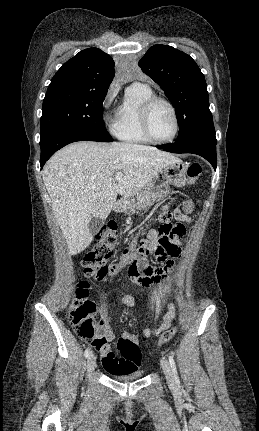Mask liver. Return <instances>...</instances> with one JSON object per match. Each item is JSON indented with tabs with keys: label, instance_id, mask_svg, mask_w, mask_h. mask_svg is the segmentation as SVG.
<instances>
[{
	"label": "liver",
	"instance_id": "1",
	"mask_svg": "<svg viewBox=\"0 0 259 431\" xmlns=\"http://www.w3.org/2000/svg\"><path fill=\"white\" fill-rule=\"evenodd\" d=\"M171 153L132 143L80 141L55 153L43 169L54 216L70 254L92 242L91 217L104 220L119 193L129 199L176 161ZM123 177L115 182L114 174Z\"/></svg>",
	"mask_w": 259,
	"mask_h": 431
}]
</instances>
